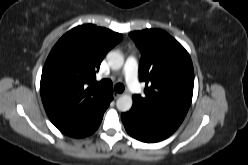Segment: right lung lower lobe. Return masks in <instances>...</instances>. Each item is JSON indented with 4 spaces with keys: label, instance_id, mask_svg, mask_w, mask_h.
I'll return each mask as SVG.
<instances>
[{
    "label": "right lung lower lobe",
    "instance_id": "1",
    "mask_svg": "<svg viewBox=\"0 0 248 165\" xmlns=\"http://www.w3.org/2000/svg\"><path fill=\"white\" fill-rule=\"evenodd\" d=\"M112 95H113V92L112 90H110L108 100L105 102V104L101 107V109L95 115H93L91 118L81 123L80 125L70 128L66 131H63V133L71 137L81 138V137L88 136L92 134L93 132H95L102 121L105 110L108 108L111 100L113 99Z\"/></svg>",
    "mask_w": 248,
    "mask_h": 165
}]
</instances>
